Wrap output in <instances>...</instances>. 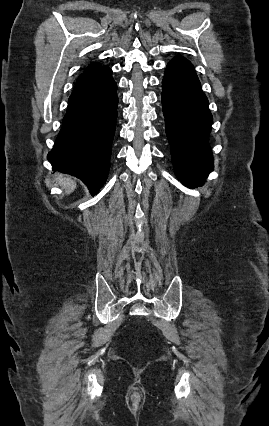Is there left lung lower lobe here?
<instances>
[{"instance_id":"1","label":"left lung lower lobe","mask_w":269,"mask_h":426,"mask_svg":"<svg viewBox=\"0 0 269 426\" xmlns=\"http://www.w3.org/2000/svg\"><path fill=\"white\" fill-rule=\"evenodd\" d=\"M166 134L177 178L187 187L202 184L213 170L208 144L212 115L192 64L177 56L162 81Z\"/></svg>"}]
</instances>
